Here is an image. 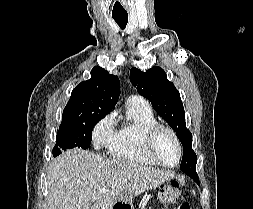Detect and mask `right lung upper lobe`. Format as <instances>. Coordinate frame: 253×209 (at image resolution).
<instances>
[{
    "instance_id": "right-lung-upper-lobe-1",
    "label": "right lung upper lobe",
    "mask_w": 253,
    "mask_h": 209,
    "mask_svg": "<svg viewBox=\"0 0 253 209\" xmlns=\"http://www.w3.org/2000/svg\"><path fill=\"white\" fill-rule=\"evenodd\" d=\"M120 94L117 76L99 66L91 70V79L81 82L71 93L63 110L62 122L90 113L104 116L116 105Z\"/></svg>"
}]
</instances>
